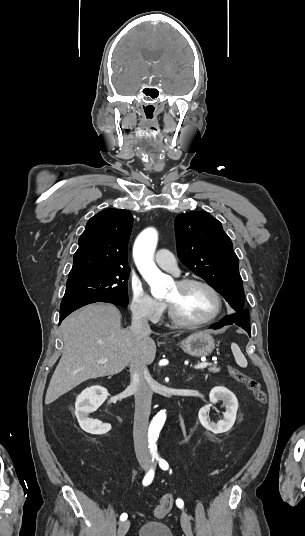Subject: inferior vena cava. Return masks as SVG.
I'll return each instance as SVG.
<instances>
[{
	"instance_id": "1",
	"label": "inferior vena cava",
	"mask_w": 305,
	"mask_h": 536,
	"mask_svg": "<svg viewBox=\"0 0 305 536\" xmlns=\"http://www.w3.org/2000/svg\"><path fill=\"white\" fill-rule=\"evenodd\" d=\"M131 330L139 336H149L151 330L148 320L141 312L140 308L132 310ZM131 384L130 390H133L135 396V414L133 426L134 448L137 458L148 460V422L151 412L152 390L150 382L152 380L148 368L146 366H133L130 364Z\"/></svg>"
}]
</instances>
